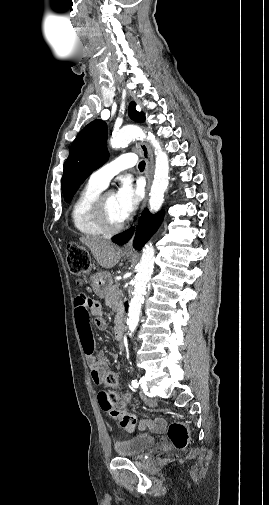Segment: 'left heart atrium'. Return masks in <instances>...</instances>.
Returning <instances> with one entry per match:
<instances>
[{
  "instance_id": "left-heart-atrium-1",
  "label": "left heart atrium",
  "mask_w": 269,
  "mask_h": 505,
  "mask_svg": "<svg viewBox=\"0 0 269 505\" xmlns=\"http://www.w3.org/2000/svg\"><path fill=\"white\" fill-rule=\"evenodd\" d=\"M114 196L117 212L124 221L136 210L140 191L129 180H123Z\"/></svg>"
}]
</instances>
